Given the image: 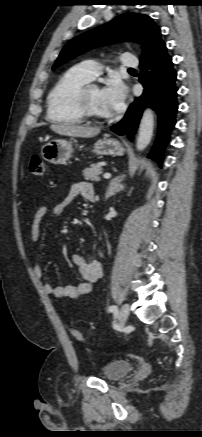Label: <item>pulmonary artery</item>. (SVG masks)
Instances as JSON below:
<instances>
[{
    "label": "pulmonary artery",
    "mask_w": 202,
    "mask_h": 437,
    "mask_svg": "<svg viewBox=\"0 0 202 437\" xmlns=\"http://www.w3.org/2000/svg\"><path fill=\"white\" fill-rule=\"evenodd\" d=\"M120 64L125 68H136L139 65L138 59L125 53L120 57ZM79 69L90 79H94L101 73L102 67L94 60H87L78 65Z\"/></svg>",
    "instance_id": "pulmonary-artery-1"
}]
</instances>
